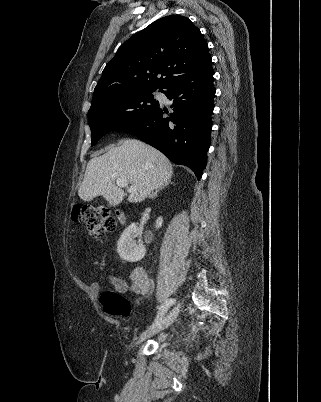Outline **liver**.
I'll list each match as a JSON object with an SVG mask.
<instances>
[{
  "label": "liver",
  "mask_w": 321,
  "mask_h": 402,
  "mask_svg": "<svg viewBox=\"0 0 321 402\" xmlns=\"http://www.w3.org/2000/svg\"><path fill=\"white\" fill-rule=\"evenodd\" d=\"M172 175V165L160 151L140 140L124 139L120 146L88 162L78 195L84 201L103 196L110 206H117L125 193L115 181L122 178L135 187L128 201L138 203L168 183Z\"/></svg>",
  "instance_id": "6515ba94"
}]
</instances>
